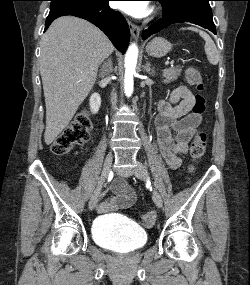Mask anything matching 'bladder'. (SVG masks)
I'll return each mask as SVG.
<instances>
[{"label":"bladder","mask_w":250,"mask_h":285,"mask_svg":"<svg viewBox=\"0 0 250 285\" xmlns=\"http://www.w3.org/2000/svg\"><path fill=\"white\" fill-rule=\"evenodd\" d=\"M92 237L99 246L117 253H131L147 242L146 231L128 222H117L110 216L97 218L92 225Z\"/></svg>","instance_id":"1"}]
</instances>
